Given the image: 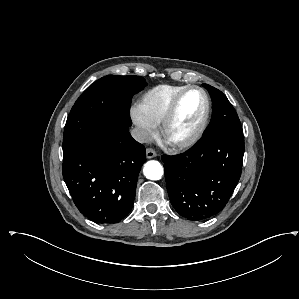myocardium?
Here are the masks:
<instances>
[{"instance_id": "obj_1", "label": "myocardium", "mask_w": 299, "mask_h": 299, "mask_svg": "<svg viewBox=\"0 0 299 299\" xmlns=\"http://www.w3.org/2000/svg\"><path fill=\"white\" fill-rule=\"evenodd\" d=\"M190 91H198L203 95L205 107L202 118L197 127L187 137L181 140H172L169 137L170 128L175 119L182 98ZM210 111L211 102L207 92L199 86H186L184 89H182L180 92L176 94L161 122V135L163 141L166 143V145L176 150H183L191 147L200 139V137L204 133L208 124Z\"/></svg>"}]
</instances>
